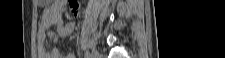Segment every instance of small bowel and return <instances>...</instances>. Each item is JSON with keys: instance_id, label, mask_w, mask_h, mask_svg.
<instances>
[{"instance_id": "small-bowel-1", "label": "small bowel", "mask_w": 225, "mask_h": 58, "mask_svg": "<svg viewBox=\"0 0 225 58\" xmlns=\"http://www.w3.org/2000/svg\"><path fill=\"white\" fill-rule=\"evenodd\" d=\"M65 10L66 2L63 0L52 2L44 10L37 33L39 58H75L73 53H64L58 47L51 46V43H56L59 38L66 37L74 31L73 22H63ZM52 27L54 30H51Z\"/></svg>"}]
</instances>
